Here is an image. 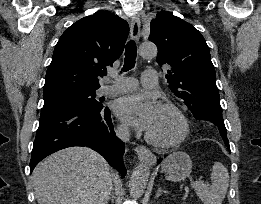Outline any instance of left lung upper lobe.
Here are the masks:
<instances>
[{"instance_id": "obj_1", "label": "left lung upper lobe", "mask_w": 261, "mask_h": 204, "mask_svg": "<svg viewBox=\"0 0 261 204\" xmlns=\"http://www.w3.org/2000/svg\"><path fill=\"white\" fill-rule=\"evenodd\" d=\"M149 40L158 48L157 63L169 65L167 82L193 116L217 126L226 135L209 47L191 24L168 12H159L150 23Z\"/></svg>"}]
</instances>
